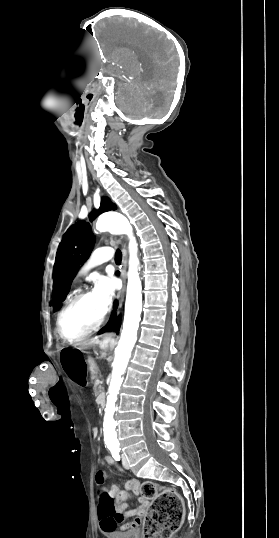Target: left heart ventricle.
<instances>
[{"mask_svg": "<svg viewBox=\"0 0 279 538\" xmlns=\"http://www.w3.org/2000/svg\"><path fill=\"white\" fill-rule=\"evenodd\" d=\"M103 312L102 304L94 293L80 300L64 315L63 334L69 339L77 338L93 328Z\"/></svg>", "mask_w": 279, "mask_h": 538, "instance_id": "b2bd125f", "label": "left heart ventricle"}]
</instances>
